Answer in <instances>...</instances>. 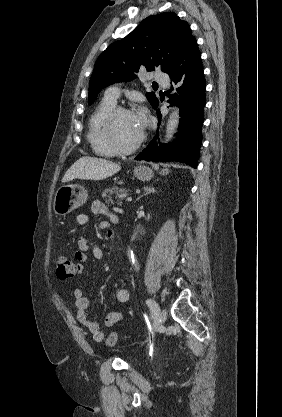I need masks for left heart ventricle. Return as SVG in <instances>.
<instances>
[{"mask_svg": "<svg viewBox=\"0 0 282 417\" xmlns=\"http://www.w3.org/2000/svg\"><path fill=\"white\" fill-rule=\"evenodd\" d=\"M98 129L102 135L105 134L103 120L100 122ZM142 130V126L135 115L123 114L115 121L113 135L118 143L129 145L139 139Z\"/></svg>", "mask_w": 282, "mask_h": 417, "instance_id": "obj_1", "label": "left heart ventricle"}]
</instances>
